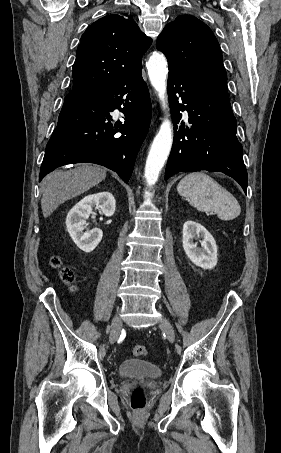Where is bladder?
<instances>
[{
	"label": "bladder",
	"mask_w": 281,
	"mask_h": 453,
	"mask_svg": "<svg viewBox=\"0 0 281 453\" xmlns=\"http://www.w3.org/2000/svg\"><path fill=\"white\" fill-rule=\"evenodd\" d=\"M118 373L122 377H136L157 379L161 377V370L144 361L127 360L119 365Z\"/></svg>",
	"instance_id": "bladder-1"
}]
</instances>
